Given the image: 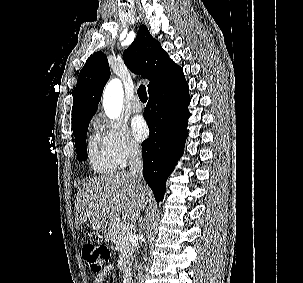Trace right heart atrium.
Masks as SVG:
<instances>
[{
	"label": "right heart atrium",
	"mask_w": 303,
	"mask_h": 283,
	"mask_svg": "<svg viewBox=\"0 0 303 283\" xmlns=\"http://www.w3.org/2000/svg\"><path fill=\"white\" fill-rule=\"evenodd\" d=\"M94 127L100 148L117 167L125 166L140 154L139 143L131 136L122 122L97 118Z\"/></svg>",
	"instance_id": "obj_1"
}]
</instances>
